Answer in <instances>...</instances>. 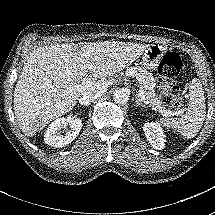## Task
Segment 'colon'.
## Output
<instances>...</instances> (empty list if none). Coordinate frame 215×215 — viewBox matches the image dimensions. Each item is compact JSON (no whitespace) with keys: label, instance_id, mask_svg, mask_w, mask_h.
Wrapping results in <instances>:
<instances>
[{"label":"colon","instance_id":"1","mask_svg":"<svg viewBox=\"0 0 215 215\" xmlns=\"http://www.w3.org/2000/svg\"><path fill=\"white\" fill-rule=\"evenodd\" d=\"M181 67V57L175 52L165 54L158 67L160 99L165 105L174 109L181 108L184 105V96L174 84Z\"/></svg>","mask_w":215,"mask_h":215}]
</instances>
